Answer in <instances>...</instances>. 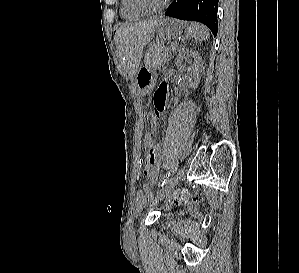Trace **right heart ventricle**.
<instances>
[{
	"mask_svg": "<svg viewBox=\"0 0 299 273\" xmlns=\"http://www.w3.org/2000/svg\"><path fill=\"white\" fill-rule=\"evenodd\" d=\"M120 3V14L125 20L137 21L146 15L133 9L129 0H121Z\"/></svg>",
	"mask_w": 299,
	"mask_h": 273,
	"instance_id": "obj_1",
	"label": "right heart ventricle"
}]
</instances>
